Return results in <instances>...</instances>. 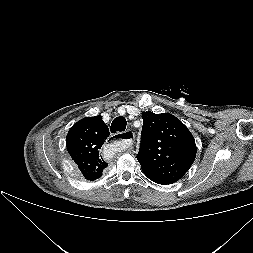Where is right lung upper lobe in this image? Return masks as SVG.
<instances>
[{
	"label": "right lung upper lobe",
	"mask_w": 253,
	"mask_h": 253,
	"mask_svg": "<svg viewBox=\"0 0 253 253\" xmlns=\"http://www.w3.org/2000/svg\"><path fill=\"white\" fill-rule=\"evenodd\" d=\"M109 135L101 116L83 118L70 128L66 137L67 150L85 179L100 178L108 166L100 156V149Z\"/></svg>",
	"instance_id": "right-lung-upper-lobe-1"
}]
</instances>
